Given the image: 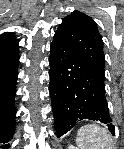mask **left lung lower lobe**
Masks as SVG:
<instances>
[{
    "mask_svg": "<svg viewBox=\"0 0 124 149\" xmlns=\"http://www.w3.org/2000/svg\"><path fill=\"white\" fill-rule=\"evenodd\" d=\"M49 65V91L57 137L84 119L105 124L114 135L115 126L105 96L104 72L94 67L56 32Z\"/></svg>",
    "mask_w": 124,
    "mask_h": 149,
    "instance_id": "1",
    "label": "left lung lower lobe"
}]
</instances>
